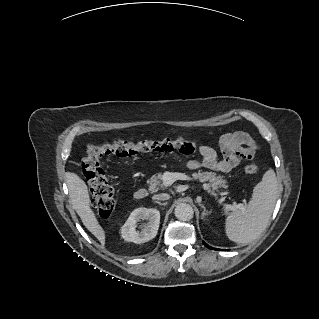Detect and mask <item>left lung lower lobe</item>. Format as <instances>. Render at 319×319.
Returning a JSON list of instances; mask_svg holds the SVG:
<instances>
[{"label": "left lung lower lobe", "instance_id": "0a47b994", "mask_svg": "<svg viewBox=\"0 0 319 319\" xmlns=\"http://www.w3.org/2000/svg\"><path fill=\"white\" fill-rule=\"evenodd\" d=\"M206 247L210 248V249H214V250H220V249H216V248H212L211 246H208L207 244L203 243Z\"/></svg>", "mask_w": 319, "mask_h": 319}]
</instances>
